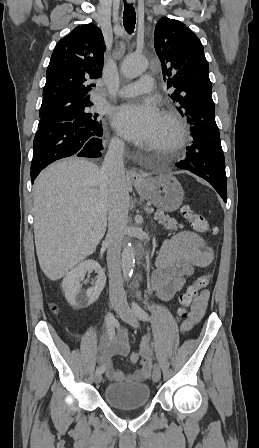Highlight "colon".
Returning a JSON list of instances; mask_svg holds the SVG:
<instances>
[{
	"label": "colon",
	"instance_id": "5ec220e1",
	"mask_svg": "<svg viewBox=\"0 0 259 448\" xmlns=\"http://www.w3.org/2000/svg\"><path fill=\"white\" fill-rule=\"evenodd\" d=\"M181 213L193 230L201 233L215 232V228L211 226L206 217L202 213L193 210L190 206L184 205L181 208ZM210 281L211 274H204L198 277L195 282L187 286L184 292L180 294L178 298L179 306L177 309V314L180 319H186L188 317L190 308H192L200 293L208 287ZM51 308L54 312L57 311L56 306L53 305ZM139 359L140 357L137 353H132L130 355V361L132 363H137Z\"/></svg>",
	"mask_w": 259,
	"mask_h": 448
}]
</instances>
